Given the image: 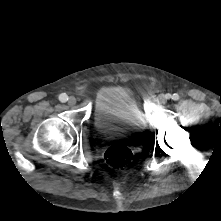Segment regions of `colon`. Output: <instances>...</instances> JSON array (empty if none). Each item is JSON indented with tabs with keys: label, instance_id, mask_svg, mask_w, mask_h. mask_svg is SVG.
<instances>
[{
	"label": "colon",
	"instance_id": "colon-1",
	"mask_svg": "<svg viewBox=\"0 0 221 221\" xmlns=\"http://www.w3.org/2000/svg\"><path fill=\"white\" fill-rule=\"evenodd\" d=\"M104 160L109 167L123 170L131 163L132 152L127 146L115 143L106 149Z\"/></svg>",
	"mask_w": 221,
	"mask_h": 221
}]
</instances>
